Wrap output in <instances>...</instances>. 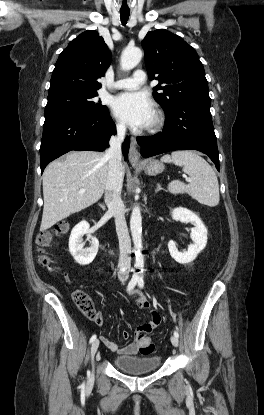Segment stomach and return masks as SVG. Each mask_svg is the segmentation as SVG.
Here are the masks:
<instances>
[{
	"label": "stomach",
	"instance_id": "stomach-1",
	"mask_svg": "<svg viewBox=\"0 0 264 415\" xmlns=\"http://www.w3.org/2000/svg\"><path fill=\"white\" fill-rule=\"evenodd\" d=\"M147 175H156L164 171V164L158 160L151 159L139 166Z\"/></svg>",
	"mask_w": 264,
	"mask_h": 415
}]
</instances>
